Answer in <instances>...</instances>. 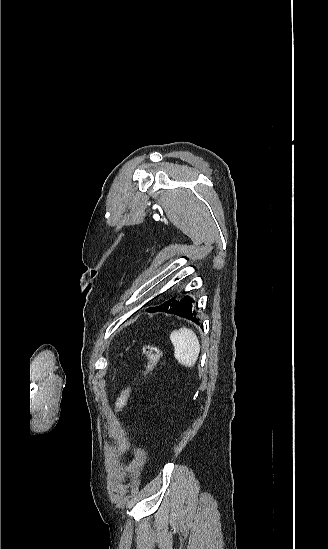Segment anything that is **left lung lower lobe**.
Returning <instances> with one entry per match:
<instances>
[{
  "label": "left lung lower lobe",
  "mask_w": 328,
  "mask_h": 549,
  "mask_svg": "<svg viewBox=\"0 0 328 549\" xmlns=\"http://www.w3.org/2000/svg\"><path fill=\"white\" fill-rule=\"evenodd\" d=\"M148 311L175 314L184 318H188L196 324H199L196 318L193 317L195 312H192V299L188 296L184 297L180 302L168 300L158 307L149 308Z\"/></svg>",
  "instance_id": "0a47b994"
}]
</instances>
